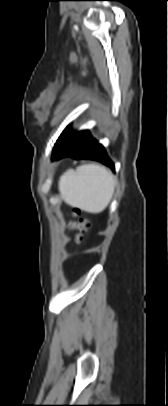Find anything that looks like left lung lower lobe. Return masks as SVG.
<instances>
[{
  "label": "left lung lower lobe",
  "mask_w": 168,
  "mask_h": 406,
  "mask_svg": "<svg viewBox=\"0 0 168 406\" xmlns=\"http://www.w3.org/2000/svg\"><path fill=\"white\" fill-rule=\"evenodd\" d=\"M64 156H71L75 159H92L99 161L114 170L113 162L108 158L105 149L89 131H82L68 143L54 150L52 159H60Z\"/></svg>",
  "instance_id": "obj_1"
}]
</instances>
